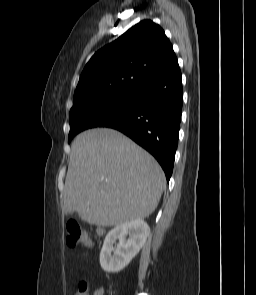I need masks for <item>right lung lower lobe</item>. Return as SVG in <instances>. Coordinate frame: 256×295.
I'll list each match as a JSON object with an SVG mask.
<instances>
[{
	"mask_svg": "<svg viewBox=\"0 0 256 295\" xmlns=\"http://www.w3.org/2000/svg\"><path fill=\"white\" fill-rule=\"evenodd\" d=\"M182 95L181 71L174 57L138 88L131 107L93 127H109L129 136L157 159L169 181L178 145ZM85 123L90 124V119Z\"/></svg>",
	"mask_w": 256,
	"mask_h": 295,
	"instance_id": "obj_1",
	"label": "right lung lower lobe"
}]
</instances>
